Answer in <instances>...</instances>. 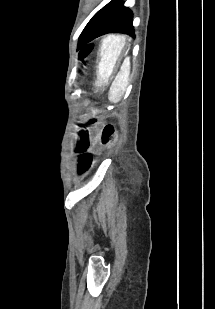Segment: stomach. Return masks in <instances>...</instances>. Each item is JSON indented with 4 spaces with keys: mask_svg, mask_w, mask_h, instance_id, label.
Segmentation results:
<instances>
[{
    "mask_svg": "<svg viewBox=\"0 0 215 309\" xmlns=\"http://www.w3.org/2000/svg\"><path fill=\"white\" fill-rule=\"evenodd\" d=\"M127 38L123 35H110L101 42L100 61L97 66V85L108 83L120 60L124 56Z\"/></svg>",
    "mask_w": 215,
    "mask_h": 309,
    "instance_id": "obj_1",
    "label": "stomach"
}]
</instances>
